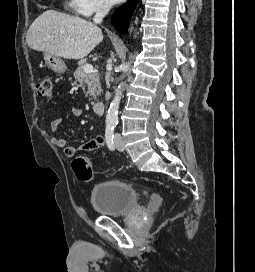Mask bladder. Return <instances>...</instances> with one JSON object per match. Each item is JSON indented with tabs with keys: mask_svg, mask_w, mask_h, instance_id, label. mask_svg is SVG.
<instances>
[{
	"mask_svg": "<svg viewBox=\"0 0 255 272\" xmlns=\"http://www.w3.org/2000/svg\"><path fill=\"white\" fill-rule=\"evenodd\" d=\"M93 209L101 216L115 217L128 213L139 202L134 188L117 180L95 185L90 191Z\"/></svg>",
	"mask_w": 255,
	"mask_h": 272,
	"instance_id": "obj_1",
	"label": "bladder"
}]
</instances>
